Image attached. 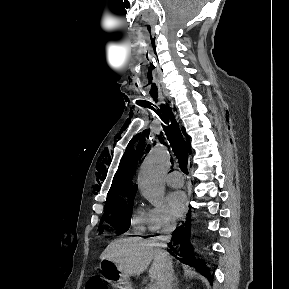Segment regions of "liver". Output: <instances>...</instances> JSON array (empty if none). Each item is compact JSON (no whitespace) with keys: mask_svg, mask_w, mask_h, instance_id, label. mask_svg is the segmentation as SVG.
Instances as JSON below:
<instances>
[{"mask_svg":"<svg viewBox=\"0 0 289 289\" xmlns=\"http://www.w3.org/2000/svg\"><path fill=\"white\" fill-rule=\"evenodd\" d=\"M100 259L112 261L120 272L126 276L143 273L153 261L149 269V277L158 283L162 275L163 261L172 265V257L168 252L156 248L151 242L137 237L122 238L112 241Z\"/></svg>","mask_w":289,"mask_h":289,"instance_id":"1","label":"liver"}]
</instances>
